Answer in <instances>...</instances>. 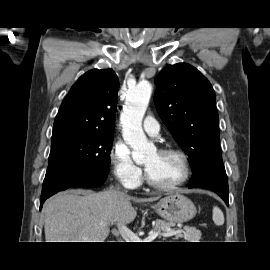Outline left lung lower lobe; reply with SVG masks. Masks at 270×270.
Instances as JSON below:
<instances>
[{
    "label": "left lung lower lobe",
    "instance_id": "left-lung-lower-lobe-1",
    "mask_svg": "<svg viewBox=\"0 0 270 270\" xmlns=\"http://www.w3.org/2000/svg\"><path fill=\"white\" fill-rule=\"evenodd\" d=\"M188 188H205L217 193L228 205V182L224 167H212L204 175L187 184Z\"/></svg>",
    "mask_w": 270,
    "mask_h": 270
}]
</instances>
